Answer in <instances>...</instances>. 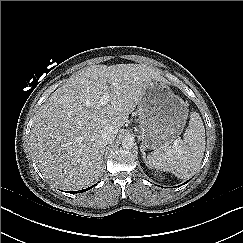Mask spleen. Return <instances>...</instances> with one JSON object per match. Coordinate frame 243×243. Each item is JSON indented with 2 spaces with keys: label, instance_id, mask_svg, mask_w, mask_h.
I'll return each mask as SVG.
<instances>
[{
  "label": "spleen",
  "instance_id": "1",
  "mask_svg": "<svg viewBox=\"0 0 243 243\" xmlns=\"http://www.w3.org/2000/svg\"><path fill=\"white\" fill-rule=\"evenodd\" d=\"M204 151L205 128L199 114L192 112L183 139L177 138L172 145H164L150 153L146 164L186 179L199 169Z\"/></svg>",
  "mask_w": 243,
  "mask_h": 243
}]
</instances>
